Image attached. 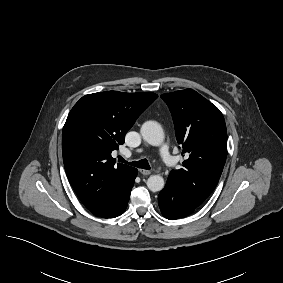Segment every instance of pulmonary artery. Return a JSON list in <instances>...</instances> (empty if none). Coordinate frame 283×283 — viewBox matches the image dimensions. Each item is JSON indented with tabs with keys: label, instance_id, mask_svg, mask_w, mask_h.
I'll return each instance as SVG.
<instances>
[{
	"label": "pulmonary artery",
	"instance_id": "obj_1",
	"mask_svg": "<svg viewBox=\"0 0 283 283\" xmlns=\"http://www.w3.org/2000/svg\"><path fill=\"white\" fill-rule=\"evenodd\" d=\"M162 160L169 166L174 164V157L170 154L168 147L165 145L160 150Z\"/></svg>",
	"mask_w": 283,
	"mask_h": 283
}]
</instances>
